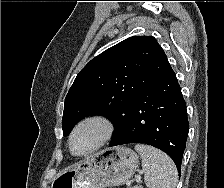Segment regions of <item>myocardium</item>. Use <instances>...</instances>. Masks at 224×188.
I'll use <instances>...</instances> for the list:
<instances>
[{
	"instance_id": "obj_1",
	"label": "myocardium",
	"mask_w": 224,
	"mask_h": 188,
	"mask_svg": "<svg viewBox=\"0 0 224 188\" xmlns=\"http://www.w3.org/2000/svg\"><path fill=\"white\" fill-rule=\"evenodd\" d=\"M90 122H96V123L100 124L103 128V135H102L101 139L99 140V142L93 148H91L89 151H87L85 153L77 154L73 151L74 136L80 127H82L83 125L90 123ZM114 131H115L114 122L108 116H106L104 114H92V115L86 116L85 118L80 120L76 124V126L73 128V130L70 134V137H69V149L74 156L82 157V156L90 155V154L94 153L95 151L99 150L101 147H103L108 141H110V139L112 138V136L114 134Z\"/></svg>"
}]
</instances>
